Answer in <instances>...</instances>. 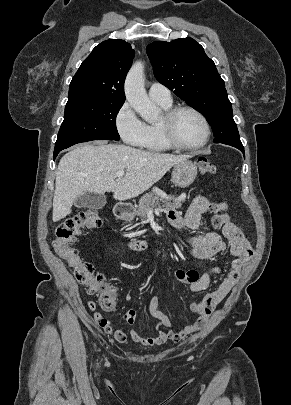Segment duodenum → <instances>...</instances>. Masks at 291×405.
Returning a JSON list of instances; mask_svg holds the SVG:
<instances>
[{
	"instance_id": "410a0bca",
	"label": "duodenum",
	"mask_w": 291,
	"mask_h": 405,
	"mask_svg": "<svg viewBox=\"0 0 291 405\" xmlns=\"http://www.w3.org/2000/svg\"><path fill=\"white\" fill-rule=\"evenodd\" d=\"M132 212L133 207L128 203H120L116 207V214L121 219L129 217ZM129 245L132 249L137 251L143 250L146 247V243L140 240L130 241Z\"/></svg>"
}]
</instances>
